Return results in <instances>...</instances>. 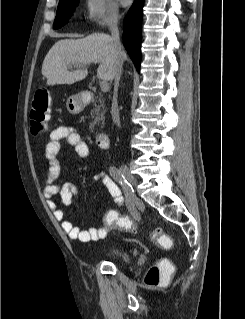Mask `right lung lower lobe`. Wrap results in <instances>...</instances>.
<instances>
[{"mask_svg":"<svg viewBox=\"0 0 245 319\" xmlns=\"http://www.w3.org/2000/svg\"><path fill=\"white\" fill-rule=\"evenodd\" d=\"M144 0H135L129 9L123 26V44L136 69L140 71L141 60V24Z\"/></svg>","mask_w":245,"mask_h":319,"instance_id":"obj_1","label":"right lung lower lobe"}]
</instances>
